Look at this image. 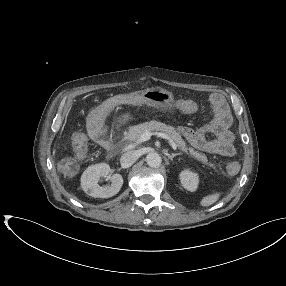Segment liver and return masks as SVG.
<instances>
[{
	"mask_svg": "<svg viewBox=\"0 0 286 286\" xmlns=\"http://www.w3.org/2000/svg\"><path fill=\"white\" fill-rule=\"evenodd\" d=\"M122 118L123 121H126L129 118V114L123 115ZM87 132L91 139L96 140L100 136L104 135V133L106 132V128H104L102 124H96L95 127L89 128Z\"/></svg>",
	"mask_w": 286,
	"mask_h": 286,
	"instance_id": "6515ba94",
	"label": "liver"
}]
</instances>
